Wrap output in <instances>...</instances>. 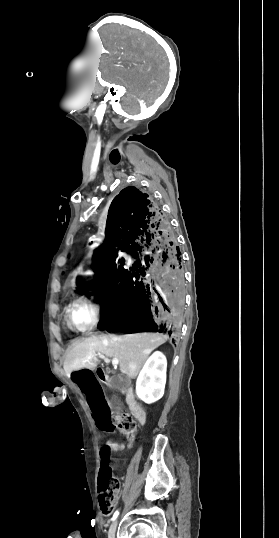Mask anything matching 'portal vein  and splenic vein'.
I'll return each instance as SVG.
<instances>
[{"mask_svg": "<svg viewBox=\"0 0 279 538\" xmlns=\"http://www.w3.org/2000/svg\"><path fill=\"white\" fill-rule=\"evenodd\" d=\"M98 356L104 361L106 365H111L110 357L106 355L104 351H101ZM117 364H119V360H116V358H114V360H112V366H117Z\"/></svg>", "mask_w": 279, "mask_h": 538, "instance_id": "18ae733b", "label": "portal vein and splenic vein"}]
</instances>
